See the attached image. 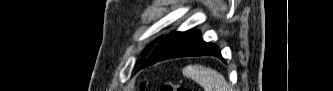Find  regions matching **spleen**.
I'll return each instance as SVG.
<instances>
[{
  "mask_svg": "<svg viewBox=\"0 0 333 91\" xmlns=\"http://www.w3.org/2000/svg\"><path fill=\"white\" fill-rule=\"evenodd\" d=\"M183 75L200 84L205 91H229L230 86L224 76L202 65H188L183 69Z\"/></svg>",
  "mask_w": 333,
  "mask_h": 91,
  "instance_id": "spleen-1",
  "label": "spleen"
}]
</instances>
